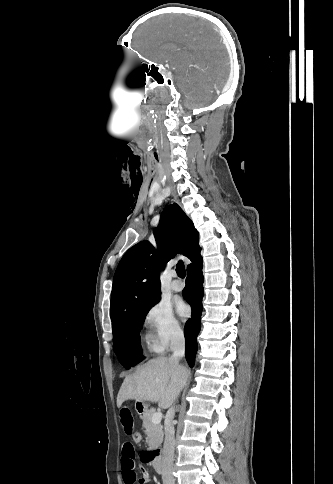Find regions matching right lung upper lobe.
<instances>
[{
    "label": "right lung upper lobe",
    "mask_w": 333,
    "mask_h": 484,
    "mask_svg": "<svg viewBox=\"0 0 333 484\" xmlns=\"http://www.w3.org/2000/svg\"><path fill=\"white\" fill-rule=\"evenodd\" d=\"M154 237L155 247L146 240L136 244L116 269L110 305L113 335L128 316L159 299L160 265L164 268L178 253L191 260L187 269L202 260L198 232L176 203L163 210Z\"/></svg>",
    "instance_id": "cb5924a9"
}]
</instances>
